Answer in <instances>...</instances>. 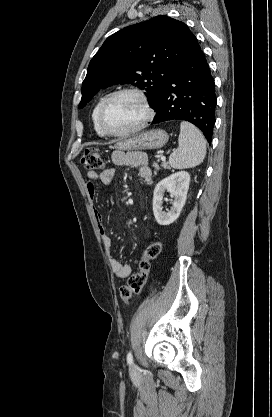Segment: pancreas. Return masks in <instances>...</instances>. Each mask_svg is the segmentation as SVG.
<instances>
[{
  "label": "pancreas",
  "instance_id": "cf45deb5",
  "mask_svg": "<svg viewBox=\"0 0 272 417\" xmlns=\"http://www.w3.org/2000/svg\"><path fill=\"white\" fill-rule=\"evenodd\" d=\"M153 167H154L155 171L159 170V165L156 162L153 163ZM162 167H164L165 169H170L168 163H166V162H164L162 164Z\"/></svg>",
  "mask_w": 272,
  "mask_h": 417
}]
</instances>
